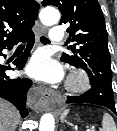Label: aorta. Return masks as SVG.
<instances>
[{"mask_svg":"<svg viewBox=\"0 0 117 131\" xmlns=\"http://www.w3.org/2000/svg\"><path fill=\"white\" fill-rule=\"evenodd\" d=\"M39 18L42 24L52 26L60 20V13L56 8L47 7L41 10ZM55 120L52 114L46 113L40 119L39 131H54Z\"/></svg>","mask_w":117,"mask_h":131,"instance_id":"obj_1","label":"aorta"}]
</instances>
